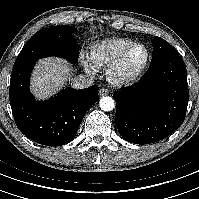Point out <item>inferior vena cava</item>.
Listing matches in <instances>:
<instances>
[{
  "instance_id": "inferior-vena-cava-1",
  "label": "inferior vena cava",
  "mask_w": 199,
  "mask_h": 199,
  "mask_svg": "<svg viewBox=\"0 0 199 199\" xmlns=\"http://www.w3.org/2000/svg\"><path fill=\"white\" fill-rule=\"evenodd\" d=\"M92 84L93 78L84 74H80L72 80L73 87L77 89L87 88L90 87Z\"/></svg>"
}]
</instances>
